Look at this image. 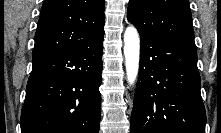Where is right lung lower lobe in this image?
<instances>
[{
	"mask_svg": "<svg viewBox=\"0 0 221 133\" xmlns=\"http://www.w3.org/2000/svg\"><path fill=\"white\" fill-rule=\"evenodd\" d=\"M103 37L33 56L21 133H99Z\"/></svg>",
	"mask_w": 221,
	"mask_h": 133,
	"instance_id": "obj_1",
	"label": "right lung lower lobe"
}]
</instances>
